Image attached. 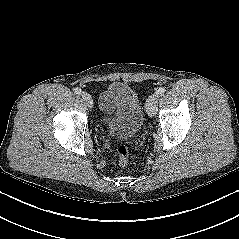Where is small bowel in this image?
I'll list each match as a JSON object with an SVG mask.
<instances>
[{
  "instance_id": "1",
  "label": "small bowel",
  "mask_w": 239,
  "mask_h": 239,
  "mask_svg": "<svg viewBox=\"0 0 239 239\" xmlns=\"http://www.w3.org/2000/svg\"><path fill=\"white\" fill-rule=\"evenodd\" d=\"M112 96V92L108 90L100 98L101 109L107 114H110L113 111Z\"/></svg>"
}]
</instances>
